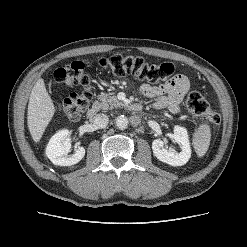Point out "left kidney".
<instances>
[{
  "label": "left kidney",
  "instance_id": "left-kidney-1",
  "mask_svg": "<svg viewBox=\"0 0 247 247\" xmlns=\"http://www.w3.org/2000/svg\"><path fill=\"white\" fill-rule=\"evenodd\" d=\"M167 137L174 140L181 148L180 152L164 147L165 142L161 139H155L152 142L153 154L158 160L171 166L185 165L191 157V148L186 128L175 126L173 133H167Z\"/></svg>",
  "mask_w": 247,
  "mask_h": 247
}]
</instances>
